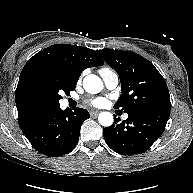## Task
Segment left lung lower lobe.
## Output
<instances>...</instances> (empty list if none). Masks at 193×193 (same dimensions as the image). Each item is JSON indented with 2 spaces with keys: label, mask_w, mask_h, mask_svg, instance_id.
<instances>
[{
  "label": "left lung lower lobe",
  "mask_w": 193,
  "mask_h": 193,
  "mask_svg": "<svg viewBox=\"0 0 193 193\" xmlns=\"http://www.w3.org/2000/svg\"><path fill=\"white\" fill-rule=\"evenodd\" d=\"M171 108H159L136 114H129L127 120L114 123L103 129L107 145L123 155L141 154L163 133Z\"/></svg>",
  "instance_id": "left-lung-lower-lobe-1"
}]
</instances>
